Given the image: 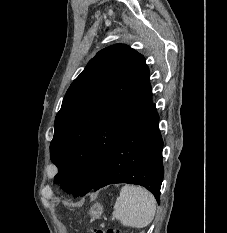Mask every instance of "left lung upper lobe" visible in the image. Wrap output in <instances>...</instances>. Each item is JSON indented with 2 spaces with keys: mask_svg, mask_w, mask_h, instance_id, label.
<instances>
[{
  "mask_svg": "<svg viewBox=\"0 0 227 233\" xmlns=\"http://www.w3.org/2000/svg\"><path fill=\"white\" fill-rule=\"evenodd\" d=\"M151 105L145 58L124 44L99 51L70 85L56 115L50 144L59 170L54 182L74 195L94 188L118 140Z\"/></svg>",
  "mask_w": 227,
  "mask_h": 233,
  "instance_id": "obj_1",
  "label": "left lung upper lobe"
}]
</instances>
